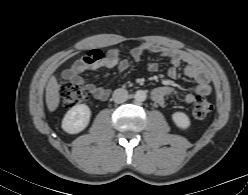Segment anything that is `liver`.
Returning <instances> with one entry per match:
<instances>
[{"label": "liver", "mask_w": 248, "mask_h": 195, "mask_svg": "<svg viewBox=\"0 0 248 195\" xmlns=\"http://www.w3.org/2000/svg\"><path fill=\"white\" fill-rule=\"evenodd\" d=\"M60 102L59 84L55 76H51L46 86V104L50 112L57 109Z\"/></svg>", "instance_id": "liver-1"}]
</instances>
